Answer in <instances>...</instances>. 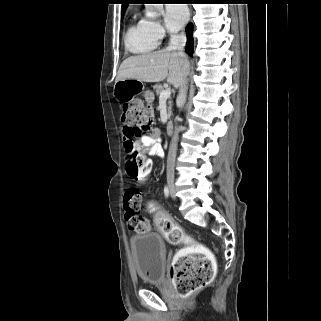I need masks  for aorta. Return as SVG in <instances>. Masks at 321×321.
I'll list each match as a JSON object with an SVG mask.
<instances>
[{
    "instance_id": "aorta-1",
    "label": "aorta",
    "mask_w": 321,
    "mask_h": 321,
    "mask_svg": "<svg viewBox=\"0 0 321 321\" xmlns=\"http://www.w3.org/2000/svg\"><path fill=\"white\" fill-rule=\"evenodd\" d=\"M161 10L162 4H146V17L154 19Z\"/></svg>"
}]
</instances>
